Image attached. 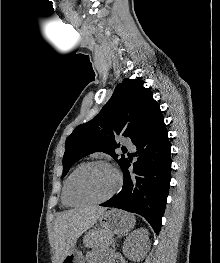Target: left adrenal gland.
Instances as JSON below:
<instances>
[{
	"instance_id": "left-adrenal-gland-1",
	"label": "left adrenal gland",
	"mask_w": 220,
	"mask_h": 263,
	"mask_svg": "<svg viewBox=\"0 0 220 263\" xmlns=\"http://www.w3.org/2000/svg\"><path fill=\"white\" fill-rule=\"evenodd\" d=\"M115 243H116V240L113 241V250L115 251Z\"/></svg>"
}]
</instances>
